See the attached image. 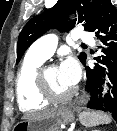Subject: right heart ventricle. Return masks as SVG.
Segmentation results:
<instances>
[{
  "mask_svg": "<svg viewBox=\"0 0 117 131\" xmlns=\"http://www.w3.org/2000/svg\"><path fill=\"white\" fill-rule=\"evenodd\" d=\"M44 60L26 57L16 78V96L22 111H35L45 108L48 101L39 93L37 73Z\"/></svg>",
  "mask_w": 117,
  "mask_h": 131,
  "instance_id": "right-heart-ventricle-1",
  "label": "right heart ventricle"
}]
</instances>
